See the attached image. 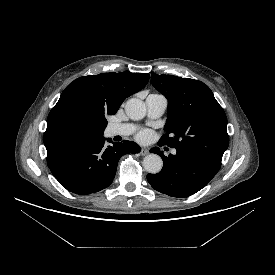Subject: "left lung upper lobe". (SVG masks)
<instances>
[{
    "label": "left lung upper lobe",
    "mask_w": 275,
    "mask_h": 275,
    "mask_svg": "<svg viewBox=\"0 0 275 275\" xmlns=\"http://www.w3.org/2000/svg\"><path fill=\"white\" fill-rule=\"evenodd\" d=\"M152 85L168 99V119L159 145L200 155L221 165L229 145L227 118L213 92L201 81L151 75Z\"/></svg>",
    "instance_id": "1"
}]
</instances>
